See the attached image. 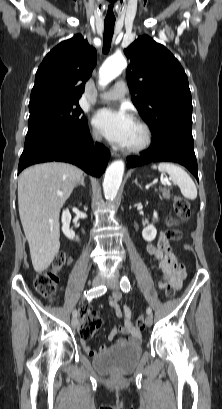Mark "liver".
<instances>
[{
	"label": "liver",
	"instance_id": "6515ba94",
	"mask_svg": "<svg viewBox=\"0 0 222 409\" xmlns=\"http://www.w3.org/2000/svg\"><path fill=\"white\" fill-rule=\"evenodd\" d=\"M83 171L49 162L25 169L18 179V207L33 268L46 270L60 249L59 214Z\"/></svg>",
	"mask_w": 222,
	"mask_h": 409
}]
</instances>
